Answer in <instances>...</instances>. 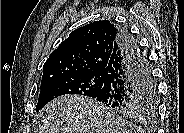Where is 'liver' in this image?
<instances>
[{
	"instance_id": "6515ba94",
	"label": "liver",
	"mask_w": 184,
	"mask_h": 133,
	"mask_svg": "<svg viewBox=\"0 0 184 133\" xmlns=\"http://www.w3.org/2000/svg\"><path fill=\"white\" fill-rule=\"evenodd\" d=\"M39 133H142V129L107 110L103 103L80 95L60 96L37 117Z\"/></svg>"
}]
</instances>
